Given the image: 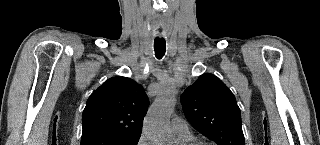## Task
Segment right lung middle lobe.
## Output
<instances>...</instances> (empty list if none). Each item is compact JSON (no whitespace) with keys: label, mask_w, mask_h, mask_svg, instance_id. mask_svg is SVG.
<instances>
[{"label":"right lung middle lobe","mask_w":320,"mask_h":145,"mask_svg":"<svg viewBox=\"0 0 320 145\" xmlns=\"http://www.w3.org/2000/svg\"><path fill=\"white\" fill-rule=\"evenodd\" d=\"M140 135H97L82 139L81 145H137Z\"/></svg>","instance_id":"obj_1"}]
</instances>
